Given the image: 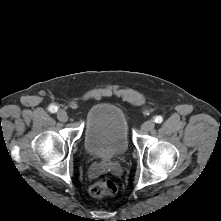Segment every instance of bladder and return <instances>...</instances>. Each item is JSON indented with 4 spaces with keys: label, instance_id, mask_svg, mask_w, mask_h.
<instances>
[{
    "label": "bladder",
    "instance_id": "obj_1",
    "mask_svg": "<svg viewBox=\"0 0 221 221\" xmlns=\"http://www.w3.org/2000/svg\"><path fill=\"white\" fill-rule=\"evenodd\" d=\"M84 146L98 159H112L125 153L129 146L128 121L124 111L112 103H99L88 112Z\"/></svg>",
    "mask_w": 221,
    "mask_h": 221
}]
</instances>
